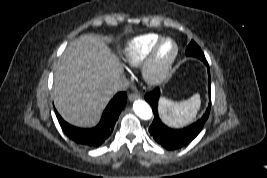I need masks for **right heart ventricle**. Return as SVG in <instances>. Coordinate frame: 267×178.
<instances>
[{
	"label": "right heart ventricle",
	"mask_w": 267,
	"mask_h": 178,
	"mask_svg": "<svg viewBox=\"0 0 267 178\" xmlns=\"http://www.w3.org/2000/svg\"><path fill=\"white\" fill-rule=\"evenodd\" d=\"M161 38L156 33L136 36L125 43L121 50L122 59L133 67H137L145 60L154 45Z\"/></svg>",
	"instance_id": "1"
}]
</instances>
